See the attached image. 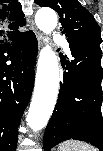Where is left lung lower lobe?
<instances>
[{
	"label": "left lung lower lobe",
	"mask_w": 103,
	"mask_h": 151,
	"mask_svg": "<svg viewBox=\"0 0 103 151\" xmlns=\"http://www.w3.org/2000/svg\"><path fill=\"white\" fill-rule=\"evenodd\" d=\"M69 45L74 59L65 63L68 72L45 131L44 150L77 139L103 151L102 51L98 44Z\"/></svg>",
	"instance_id": "0a47b994"
}]
</instances>
